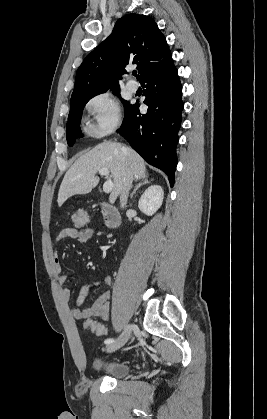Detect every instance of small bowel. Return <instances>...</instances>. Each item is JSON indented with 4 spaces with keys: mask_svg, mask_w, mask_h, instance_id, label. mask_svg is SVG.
Listing matches in <instances>:
<instances>
[{
    "mask_svg": "<svg viewBox=\"0 0 267 419\" xmlns=\"http://www.w3.org/2000/svg\"><path fill=\"white\" fill-rule=\"evenodd\" d=\"M95 235V230L92 228L87 229H75V228H66L61 230L57 237L56 241H60L63 238H71L76 241L84 242L89 240ZM54 272L57 275L58 282L61 285H65L68 281L69 275L62 273V268L59 263L57 256L54 258ZM101 282L94 281L87 285H84L79 292V295L76 299V306L71 308V314L76 320H84L91 317H98L102 320H107L110 315V305L109 301L111 298V292L105 290L96 300H94L89 306L85 308H80L87 298L89 291L92 287L98 286ZM102 283L105 287H110L112 285V278L110 276H105L102 280ZM62 296L65 300L69 301L71 298V290L69 288L62 289Z\"/></svg>",
    "mask_w": 267,
    "mask_h": 419,
    "instance_id": "c3829d8e",
    "label": "small bowel"
}]
</instances>
